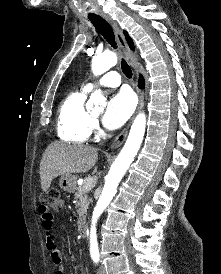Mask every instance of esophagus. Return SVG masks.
<instances>
[{
    "instance_id": "esophagus-1",
    "label": "esophagus",
    "mask_w": 221,
    "mask_h": 274,
    "mask_svg": "<svg viewBox=\"0 0 221 274\" xmlns=\"http://www.w3.org/2000/svg\"><path fill=\"white\" fill-rule=\"evenodd\" d=\"M103 17L112 26V28L114 30V33H115V36H116V39L118 41V44L121 47L127 62L131 66H133L134 62H135V57H134L132 51L130 50V48H129L126 40H125V37H124V34H123L122 30L120 29L118 24L114 20H112L110 17H108L106 15H103ZM136 89H137V93H138V97H139V103H138V107H137V110H136L135 114H137L139 112V110L143 107V104H144V92H143V90L138 88V87ZM134 116L131 118V120L126 125V127L113 140V142L110 145L111 149L116 150V149H118L122 146V144L124 143V141L127 137V134H128L130 125H131V123L134 119Z\"/></svg>"
}]
</instances>
